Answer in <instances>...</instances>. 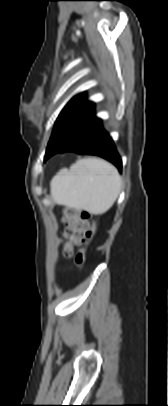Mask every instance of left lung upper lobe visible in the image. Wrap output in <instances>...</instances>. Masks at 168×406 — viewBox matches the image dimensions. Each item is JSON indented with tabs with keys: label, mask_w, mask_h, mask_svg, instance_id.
<instances>
[{
	"label": "left lung upper lobe",
	"mask_w": 168,
	"mask_h": 406,
	"mask_svg": "<svg viewBox=\"0 0 168 406\" xmlns=\"http://www.w3.org/2000/svg\"><path fill=\"white\" fill-rule=\"evenodd\" d=\"M93 111L94 104L86 100L84 93L73 97L56 121L46 155H50L57 147L73 139L83 129Z\"/></svg>",
	"instance_id": "obj_1"
}]
</instances>
